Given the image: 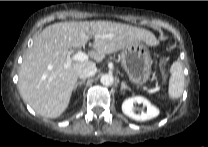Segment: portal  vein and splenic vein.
<instances>
[{
  "label": "portal vein and splenic vein",
  "mask_w": 208,
  "mask_h": 147,
  "mask_svg": "<svg viewBox=\"0 0 208 147\" xmlns=\"http://www.w3.org/2000/svg\"><path fill=\"white\" fill-rule=\"evenodd\" d=\"M89 59L88 55L84 53L83 51H79L76 54L72 55L71 57H67V61L65 64V67H69L72 63V61H87ZM149 92H152V90H148Z\"/></svg>",
  "instance_id": "portal-vein-and-splenic-vein-1"
}]
</instances>
